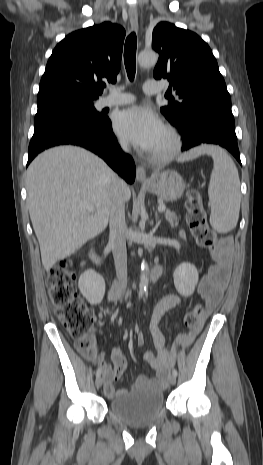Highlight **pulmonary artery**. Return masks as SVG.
<instances>
[{"label":"pulmonary artery","instance_id":"obj_1","mask_svg":"<svg viewBox=\"0 0 263 465\" xmlns=\"http://www.w3.org/2000/svg\"><path fill=\"white\" fill-rule=\"evenodd\" d=\"M144 93L152 95L160 92L162 87L155 81H147L143 86ZM134 102V96L129 93L116 92L103 98L100 102L102 107L120 106Z\"/></svg>","mask_w":263,"mask_h":465}]
</instances>
